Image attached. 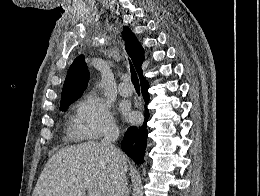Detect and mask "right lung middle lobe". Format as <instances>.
<instances>
[{
    "mask_svg": "<svg viewBox=\"0 0 260 196\" xmlns=\"http://www.w3.org/2000/svg\"><path fill=\"white\" fill-rule=\"evenodd\" d=\"M68 106H69V105H67V106H65V107H63V108H61L60 110H61V111H66L67 108H68Z\"/></svg>",
    "mask_w": 260,
    "mask_h": 196,
    "instance_id": "dd1d6c3e",
    "label": "right lung middle lobe"
}]
</instances>
